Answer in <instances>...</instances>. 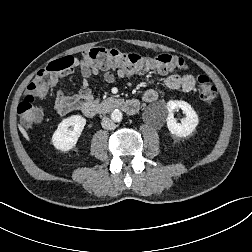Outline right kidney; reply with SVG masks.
<instances>
[{"mask_svg":"<svg viewBox=\"0 0 252 252\" xmlns=\"http://www.w3.org/2000/svg\"><path fill=\"white\" fill-rule=\"evenodd\" d=\"M85 124L86 119L80 115H73L63 119L52 136L54 147L60 151L71 150L76 145ZM70 126L73 127L72 131L68 130Z\"/></svg>","mask_w":252,"mask_h":252,"instance_id":"obj_1","label":"right kidney"}]
</instances>
